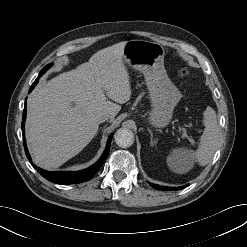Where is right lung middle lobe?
Here are the masks:
<instances>
[{
  "instance_id": "dd1d6c3e",
  "label": "right lung middle lobe",
  "mask_w": 247,
  "mask_h": 247,
  "mask_svg": "<svg viewBox=\"0 0 247 247\" xmlns=\"http://www.w3.org/2000/svg\"><path fill=\"white\" fill-rule=\"evenodd\" d=\"M52 65V63L51 64H48L47 66H45L42 70H41V72H40V76L47 70V69H49V67Z\"/></svg>"
}]
</instances>
